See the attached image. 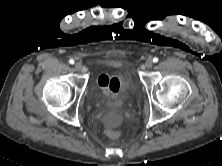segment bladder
<instances>
[{
    "label": "bladder",
    "instance_id": "1",
    "mask_svg": "<svg viewBox=\"0 0 222 166\" xmlns=\"http://www.w3.org/2000/svg\"><path fill=\"white\" fill-rule=\"evenodd\" d=\"M135 90H136L135 86H134V85H131V87H130V89H129L130 98L127 99L126 103H129V102H130V99H131V97H132V94H133V92H135ZM99 103H101V102H99Z\"/></svg>",
    "mask_w": 222,
    "mask_h": 166
}]
</instances>
